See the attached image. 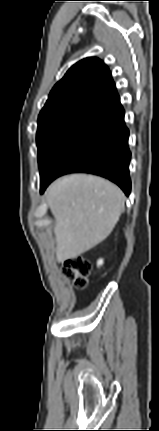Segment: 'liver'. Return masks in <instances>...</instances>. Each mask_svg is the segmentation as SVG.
<instances>
[{
	"label": "liver",
	"mask_w": 159,
	"mask_h": 431,
	"mask_svg": "<svg viewBox=\"0 0 159 431\" xmlns=\"http://www.w3.org/2000/svg\"><path fill=\"white\" fill-rule=\"evenodd\" d=\"M45 195L55 218L59 263L79 256L105 240L119 221L125 202L118 186L86 174L57 179Z\"/></svg>",
	"instance_id": "6515ba94"
}]
</instances>
